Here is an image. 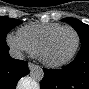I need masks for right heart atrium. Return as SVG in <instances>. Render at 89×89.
I'll use <instances>...</instances> for the list:
<instances>
[{
  "instance_id": "obj_1",
  "label": "right heart atrium",
  "mask_w": 89,
  "mask_h": 89,
  "mask_svg": "<svg viewBox=\"0 0 89 89\" xmlns=\"http://www.w3.org/2000/svg\"><path fill=\"white\" fill-rule=\"evenodd\" d=\"M8 46L17 53L27 52L28 48L25 43L18 37V35L9 34L7 36Z\"/></svg>"
}]
</instances>
